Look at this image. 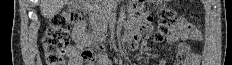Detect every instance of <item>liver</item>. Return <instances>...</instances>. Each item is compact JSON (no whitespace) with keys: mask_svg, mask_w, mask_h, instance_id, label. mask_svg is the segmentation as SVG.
Masks as SVG:
<instances>
[{"mask_svg":"<svg viewBox=\"0 0 232 65\" xmlns=\"http://www.w3.org/2000/svg\"><path fill=\"white\" fill-rule=\"evenodd\" d=\"M40 11L45 18H52L67 4L68 0H39Z\"/></svg>","mask_w":232,"mask_h":65,"instance_id":"liver-1","label":"liver"}]
</instances>
